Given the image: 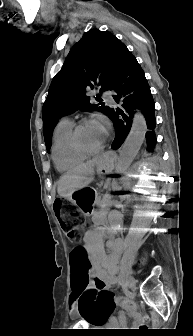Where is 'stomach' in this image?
Returning a JSON list of instances; mask_svg holds the SVG:
<instances>
[{"label": "stomach", "instance_id": "obj_1", "mask_svg": "<svg viewBox=\"0 0 193 336\" xmlns=\"http://www.w3.org/2000/svg\"><path fill=\"white\" fill-rule=\"evenodd\" d=\"M114 160L115 156L113 153L104 154L102 161L96 166L97 172L100 174L110 173L114 167ZM96 198V193L88 187L78 189L70 195V200L86 215L90 214Z\"/></svg>", "mask_w": 193, "mask_h": 336}]
</instances>
